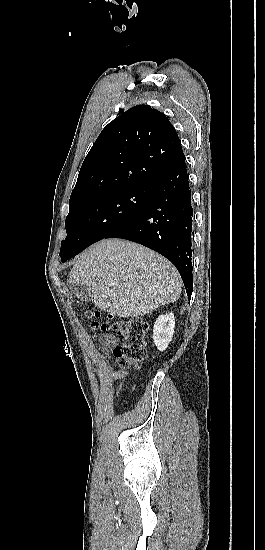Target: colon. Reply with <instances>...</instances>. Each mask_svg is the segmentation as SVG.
I'll list each match as a JSON object with an SVG mask.
<instances>
[{"mask_svg":"<svg viewBox=\"0 0 265 550\" xmlns=\"http://www.w3.org/2000/svg\"><path fill=\"white\" fill-rule=\"evenodd\" d=\"M90 326L93 330L109 332L122 338L113 352L118 366L128 369L137 366L146 359V334L148 322L142 318L113 319L111 316L101 317L98 311L87 312Z\"/></svg>","mask_w":265,"mask_h":550,"instance_id":"5ec220e1","label":"colon"}]
</instances>
